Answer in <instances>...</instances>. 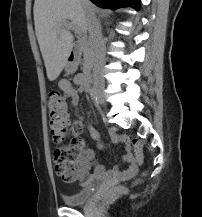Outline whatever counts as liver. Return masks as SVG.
Returning a JSON list of instances; mask_svg holds the SVG:
<instances>
[{
  "label": "liver",
  "instance_id": "liver-1",
  "mask_svg": "<svg viewBox=\"0 0 202 217\" xmlns=\"http://www.w3.org/2000/svg\"><path fill=\"white\" fill-rule=\"evenodd\" d=\"M95 11L89 0L85 4L82 0H35V33L50 81L60 75L73 49V36L64 29L63 22L70 20L86 33L89 12L95 15Z\"/></svg>",
  "mask_w": 202,
  "mask_h": 217
}]
</instances>
